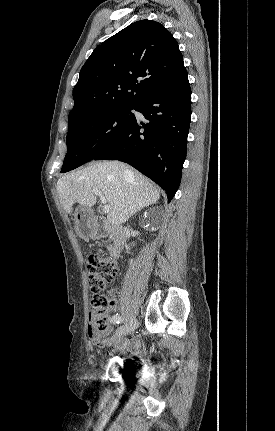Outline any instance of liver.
I'll use <instances>...</instances> for the list:
<instances>
[{"mask_svg":"<svg viewBox=\"0 0 275 431\" xmlns=\"http://www.w3.org/2000/svg\"><path fill=\"white\" fill-rule=\"evenodd\" d=\"M93 190L104 195L111 207L108 221L117 226L160 198L158 188L147 177L119 161L92 163L57 182L60 202L68 214L74 203L90 209L96 202Z\"/></svg>","mask_w":275,"mask_h":431,"instance_id":"6515ba94","label":"liver"}]
</instances>
